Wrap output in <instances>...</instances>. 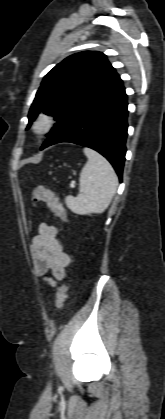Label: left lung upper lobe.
<instances>
[{"label":"left lung upper lobe","mask_w":165,"mask_h":419,"mask_svg":"<svg viewBox=\"0 0 165 419\" xmlns=\"http://www.w3.org/2000/svg\"><path fill=\"white\" fill-rule=\"evenodd\" d=\"M118 76L101 52L85 51L67 57L44 77L30 108L26 129L42 110L57 120L49 136L83 102L102 91Z\"/></svg>","instance_id":"1"}]
</instances>
